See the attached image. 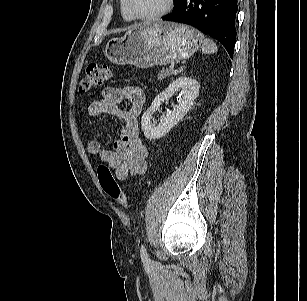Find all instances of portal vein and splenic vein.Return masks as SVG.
I'll list each match as a JSON object with an SVG mask.
<instances>
[{
  "mask_svg": "<svg viewBox=\"0 0 307 301\" xmlns=\"http://www.w3.org/2000/svg\"><path fill=\"white\" fill-rule=\"evenodd\" d=\"M170 68H171V69L174 68V63H171Z\"/></svg>",
  "mask_w": 307,
  "mask_h": 301,
  "instance_id": "obj_1",
  "label": "portal vein and splenic vein"
}]
</instances>
